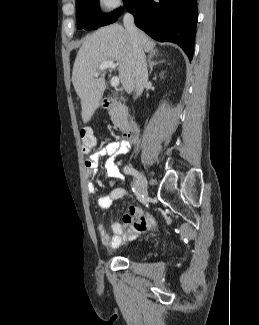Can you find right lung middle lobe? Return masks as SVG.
I'll use <instances>...</instances> for the list:
<instances>
[{"mask_svg":"<svg viewBox=\"0 0 259 325\" xmlns=\"http://www.w3.org/2000/svg\"><path fill=\"white\" fill-rule=\"evenodd\" d=\"M124 3L126 0H123ZM77 26L79 29H96L114 23L120 14L119 10L109 14H99V0H76Z\"/></svg>","mask_w":259,"mask_h":325,"instance_id":"1","label":"right lung middle lobe"}]
</instances>
